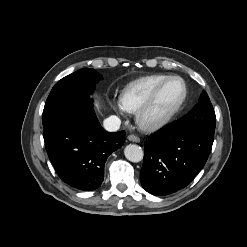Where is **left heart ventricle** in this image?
Returning <instances> with one entry per match:
<instances>
[{"instance_id":"left-heart-ventricle-1","label":"left heart ventricle","mask_w":247,"mask_h":247,"mask_svg":"<svg viewBox=\"0 0 247 247\" xmlns=\"http://www.w3.org/2000/svg\"><path fill=\"white\" fill-rule=\"evenodd\" d=\"M183 84L179 80L168 82L159 93L153 104L149 117H160L176 106L183 95Z\"/></svg>"}]
</instances>
